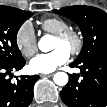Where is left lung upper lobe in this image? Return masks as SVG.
I'll return each instance as SVG.
<instances>
[{"instance_id":"5c2ea615","label":"left lung upper lobe","mask_w":107,"mask_h":107,"mask_svg":"<svg viewBox=\"0 0 107 107\" xmlns=\"http://www.w3.org/2000/svg\"><path fill=\"white\" fill-rule=\"evenodd\" d=\"M54 13L65 16L78 24L84 44L75 62H83L97 54L107 52V13L90 6H68Z\"/></svg>"}]
</instances>
